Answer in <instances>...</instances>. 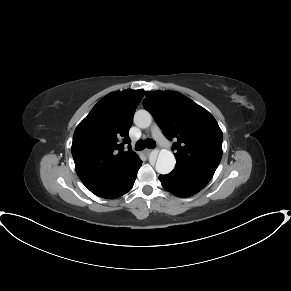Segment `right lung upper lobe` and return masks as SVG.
Instances as JSON below:
<instances>
[{"label": "right lung upper lobe", "instance_id": "obj_1", "mask_svg": "<svg viewBox=\"0 0 291 291\" xmlns=\"http://www.w3.org/2000/svg\"><path fill=\"white\" fill-rule=\"evenodd\" d=\"M143 96L144 90L112 92L77 126L71 152L76 172L89 190L113 185L139 160L128 133ZM125 143L128 151L123 149Z\"/></svg>", "mask_w": 291, "mask_h": 291}]
</instances>
